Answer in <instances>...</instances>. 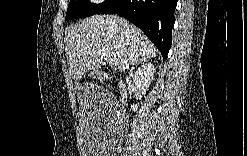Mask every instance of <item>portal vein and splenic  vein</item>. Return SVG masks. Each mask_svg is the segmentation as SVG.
<instances>
[{
  "mask_svg": "<svg viewBox=\"0 0 247 156\" xmlns=\"http://www.w3.org/2000/svg\"><path fill=\"white\" fill-rule=\"evenodd\" d=\"M108 61H109V64H110L111 66H113V67L117 66V62H116L115 59L109 58Z\"/></svg>",
  "mask_w": 247,
  "mask_h": 156,
  "instance_id": "18ae733b",
  "label": "portal vein and splenic vein"
}]
</instances>
